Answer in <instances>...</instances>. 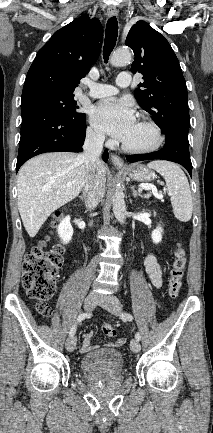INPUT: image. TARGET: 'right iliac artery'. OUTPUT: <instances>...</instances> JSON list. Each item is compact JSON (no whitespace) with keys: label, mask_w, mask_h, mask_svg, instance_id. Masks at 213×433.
Here are the masks:
<instances>
[{"label":"right iliac artery","mask_w":213,"mask_h":433,"mask_svg":"<svg viewBox=\"0 0 213 433\" xmlns=\"http://www.w3.org/2000/svg\"><path fill=\"white\" fill-rule=\"evenodd\" d=\"M91 315H92L91 313L87 312V313H82V314H80V315L77 317L75 324H74V325L71 327V329H70V332H69L70 337H73V336H74V334H75V332H76V325H77V323L83 321V320L86 319V318H90Z\"/></svg>","instance_id":"obj_1"}]
</instances>
